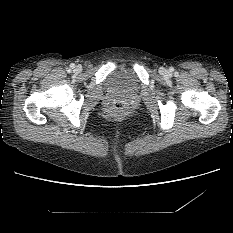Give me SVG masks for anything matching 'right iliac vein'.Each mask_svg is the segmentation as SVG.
<instances>
[{
	"label": "right iliac vein",
	"instance_id": "1",
	"mask_svg": "<svg viewBox=\"0 0 233 233\" xmlns=\"http://www.w3.org/2000/svg\"><path fill=\"white\" fill-rule=\"evenodd\" d=\"M82 70V67L81 66H77L76 68H75V71L76 72H80Z\"/></svg>",
	"mask_w": 233,
	"mask_h": 233
}]
</instances>
